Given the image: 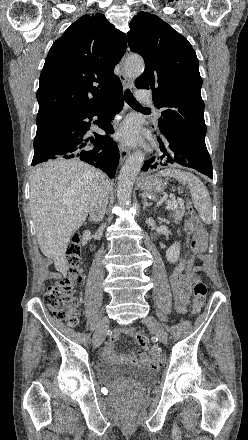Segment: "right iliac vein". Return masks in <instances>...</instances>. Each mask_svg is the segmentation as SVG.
Returning a JSON list of instances; mask_svg holds the SVG:
<instances>
[{
    "label": "right iliac vein",
    "instance_id": "obj_1",
    "mask_svg": "<svg viewBox=\"0 0 248 440\" xmlns=\"http://www.w3.org/2000/svg\"><path fill=\"white\" fill-rule=\"evenodd\" d=\"M109 323H110V321H109L108 317H104L100 321V323L94 333V336H93V343H94L95 347L100 346L101 343L103 342L105 335H106V332H107V329L109 328Z\"/></svg>",
    "mask_w": 248,
    "mask_h": 440
}]
</instances>
